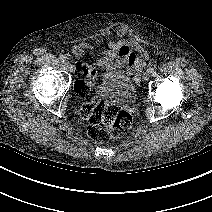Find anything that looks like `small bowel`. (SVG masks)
Instances as JSON below:
<instances>
[{
	"mask_svg": "<svg viewBox=\"0 0 212 212\" xmlns=\"http://www.w3.org/2000/svg\"><path fill=\"white\" fill-rule=\"evenodd\" d=\"M123 35L124 31H121V39L109 43L97 64L106 70L125 69L128 77H137L149 62V57L141 46L126 41L123 39ZM102 40L103 37H99L90 43L77 44L73 49V53L76 57H82L87 51L94 50Z\"/></svg>",
	"mask_w": 212,
	"mask_h": 212,
	"instance_id": "1",
	"label": "small bowel"
}]
</instances>
